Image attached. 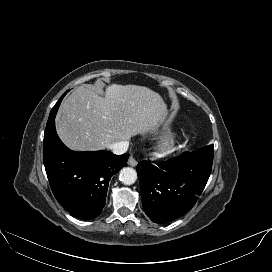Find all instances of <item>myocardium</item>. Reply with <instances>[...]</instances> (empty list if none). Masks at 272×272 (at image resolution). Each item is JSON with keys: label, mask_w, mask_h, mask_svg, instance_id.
<instances>
[{"label": "myocardium", "mask_w": 272, "mask_h": 272, "mask_svg": "<svg viewBox=\"0 0 272 272\" xmlns=\"http://www.w3.org/2000/svg\"><path fill=\"white\" fill-rule=\"evenodd\" d=\"M177 149V140L173 135L163 136L157 144V152L162 157H169L175 153Z\"/></svg>", "instance_id": "1"}]
</instances>
